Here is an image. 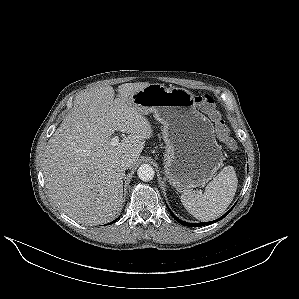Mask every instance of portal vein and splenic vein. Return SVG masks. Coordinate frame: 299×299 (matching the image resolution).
<instances>
[{
  "label": "portal vein and splenic vein",
  "mask_w": 299,
  "mask_h": 299,
  "mask_svg": "<svg viewBox=\"0 0 299 299\" xmlns=\"http://www.w3.org/2000/svg\"><path fill=\"white\" fill-rule=\"evenodd\" d=\"M118 142H119V137L115 136L111 139L110 144H111V146H116L118 144Z\"/></svg>",
  "instance_id": "obj_1"
}]
</instances>
